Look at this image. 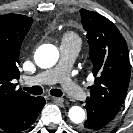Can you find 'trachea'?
<instances>
[{"mask_svg":"<svg viewBox=\"0 0 133 133\" xmlns=\"http://www.w3.org/2000/svg\"><path fill=\"white\" fill-rule=\"evenodd\" d=\"M23 90L33 95H41L43 93V89L40 86H32L31 88L23 87ZM50 94L55 97H61L63 92L59 89H51Z\"/></svg>","mask_w":133,"mask_h":133,"instance_id":"1","label":"trachea"}]
</instances>
